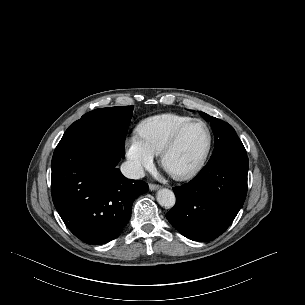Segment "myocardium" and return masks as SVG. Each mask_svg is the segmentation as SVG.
<instances>
[{"label": "myocardium", "mask_w": 305, "mask_h": 305, "mask_svg": "<svg viewBox=\"0 0 305 305\" xmlns=\"http://www.w3.org/2000/svg\"><path fill=\"white\" fill-rule=\"evenodd\" d=\"M194 124H202L206 130H207V144L206 147L199 158V160L189 169L182 171V172H173L169 169L167 161L169 156L175 151V149L178 147L180 144V141L184 135V133L187 131L189 127H191ZM212 142H213V135L210 126L201 119H192L189 122L185 123L182 125L174 134L172 139L169 141V143L164 147L160 154V162L163 167V169L175 180L178 181H184L193 178L196 176L205 166L207 159L209 157L211 147H212Z\"/></svg>", "instance_id": "1"}]
</instances>
